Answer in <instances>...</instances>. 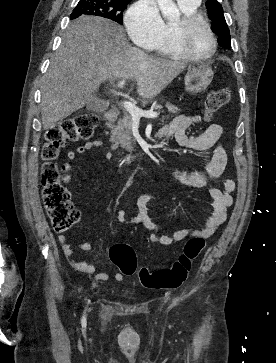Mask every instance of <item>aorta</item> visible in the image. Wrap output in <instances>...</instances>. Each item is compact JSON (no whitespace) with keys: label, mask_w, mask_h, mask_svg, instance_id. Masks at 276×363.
I'll return each instance as SVG.
<instances>
[{"label":"aorta","mask_w":276,"mask_h":363,"mask_svg":"<svg viewBox=\"0 0 276 363\" xmlns=\"http://www.w3.org/2000/svg\"><path fill=\"white\" fill-rule=\"evenodd\" d=\"M157 5L165 20L177 21L180 18V12L174 0H157Z\"/></svg>","instance_id":"aorta-1"}]
</instances>
